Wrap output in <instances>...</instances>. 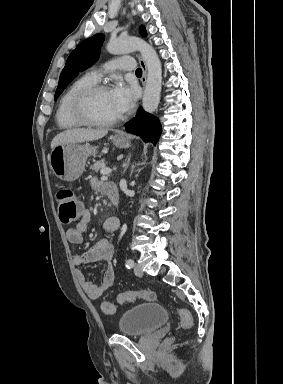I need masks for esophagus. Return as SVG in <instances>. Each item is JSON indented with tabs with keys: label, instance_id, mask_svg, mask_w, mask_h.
<instances>
[{
	"label": "esophagus",
	"instance_id": "esophagus-1",
	"mask_svg": "<svg viewBox=\"0 0 283 384\" xmlns=\"http://www.w3.org/2000/svg\"><path fill=\"white\" fill-rule=\"evenodd\" d=\"M138 60H139V63H140L141 69H142L141 82H142L143 87H145V85H146V77H147V66H146L145 61L139 55H138ZM119 135H121V134H119Z\"/></svg>",
	"mask_w": 283,
	"mask_h": 384
}]
</instances>
